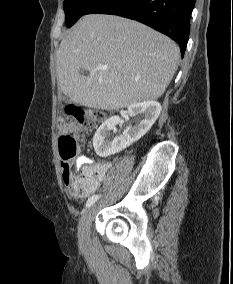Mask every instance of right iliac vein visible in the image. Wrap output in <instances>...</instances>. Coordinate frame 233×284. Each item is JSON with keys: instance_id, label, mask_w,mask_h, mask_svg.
I'll return each mask as SVG.
<instances>
[{"instance_id": "right-iliac-vein-1", "label": "right iliac vein", "mask_w": 233, "mask_h": 284, "mask_svg": "<svg viewBox=\"0 0 233 284\" xmlns=\"http://www.w3.org/2000/svg\"><path fill=\"white\" fill-rule=\"evenodd\" d=\"M95 211V206H90L84 210L83 215L79 222L78 238L82 248H87L90 242V227L92 216Z\"/></svg>"}]
</instances>
